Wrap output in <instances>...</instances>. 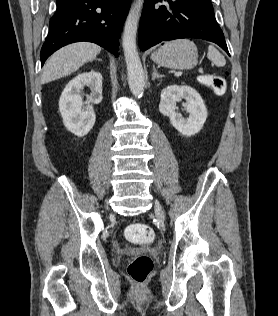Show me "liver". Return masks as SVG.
Returning a JSON list of instances; mask_svg holds the SVG:
<instances>
[{"label": "liver", "instance_id": "1", "mask_svg": "<svg viewBox=\"0 0 278 316\" xmlns=\"http://www.w3.org/2000/svg\"><path fill=\"white\" fill-rule=\"evenodd\" d=\"M101 47L90 42L70 44L56 51L45 64L42 83L68 76L100 53Z\"/></svg>", "mask_w": 278, "mask_h": 316}]
</instances>
